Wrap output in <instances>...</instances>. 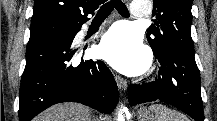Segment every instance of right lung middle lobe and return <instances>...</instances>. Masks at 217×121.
Returning <instances> with one entry per match:
<instances>
[{"label":"right lung middle lobe","mask_w":217,"mask_h":121,"mask_svg":"<svg viewBox=\"0 0 217 121\" xmlns=\"http://www.w3.org/2000/svg\"><path fill=\"white\" fill-rule=\"evenodd\" d=\"M78 25L71 24L59 20H42L32 22L30 27V40L39 37L59 34V33H73Z\"/></svg>","instance_id":"right-lung-middle-lobe-1"}]
</instances>
